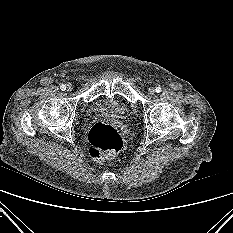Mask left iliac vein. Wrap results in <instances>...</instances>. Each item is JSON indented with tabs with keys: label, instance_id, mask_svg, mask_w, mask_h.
<instances>
[{
	"label": "left iliac vein",
	"instance_id": "left-iliac-vein-1",
	"mask_svg": "<svg viewBox=\"0 0 233 233\" xmlns=\"http://www.w3.org/2000/svg\"><path fill=\"white\" fill-rule=\"evenodd\" d=\"M148 93H149L150 95H153V94L155 93V89H154L153 87H150V88L148 89Z\"/></svg>",
	"mask_w": 233,
	"mask_h": 233
}]
</instances>
